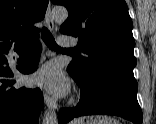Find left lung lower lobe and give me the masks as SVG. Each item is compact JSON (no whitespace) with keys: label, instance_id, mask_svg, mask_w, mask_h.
<instances>
[{"label":"left lung lower lobe","instance_id":"left-lung-lower-lobe-1","mask_svg":"<svg viewBox=\"0 0 156 124\" xmlns=\"http://www.w3.org/2000/svg\"><path fill=\"white\" fill-rule=\"evenodd\" d=\"M78 85L81 88L80 102L74 108L61 109L58 115L59 124H66L73 118L86 115H116L142 124L135 79L120 73L107 72Z\"/></svg>","mask_w":156,"mask_h":124}]
</instances>
